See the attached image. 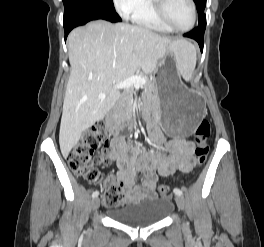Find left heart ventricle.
<instances>
[{
    "label": "left heart ventricle",
    "mask_w": 264,
    "mask_h": 247,
    "mask_svg": "<svg viewBox=\"0 0 264 247\" xmlns=\"http://www.w3.org/2000/svg\"><path fill=\"white\" fill-rule=\"evenodd\" d=\"M165 12L170 22L177 27H187L191 23L192 11L188 0H166Z\"/></svg>",
    "instance_id": "left-heart-ventricle-1"
}]
</instances>
